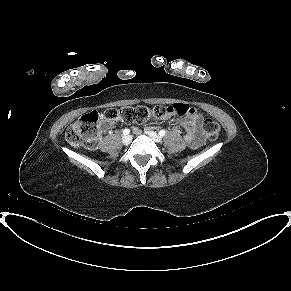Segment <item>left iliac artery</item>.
I'll return each instance as SVG.
<instances>
[{
	"mask_svg": "<svg viewBox=\"0 0 291 291\" xmlns=\"http://www.w3.org/2000/svg\"><path fill=\"white\" fill-rule=\"evenodd\" d=\"M165 134H166L165 130H160V131H159V135H160V136H164Z\"/></svg>",
	"mask_w": 291,
	"mask_h": 291,
	"instance_id": "left-iliac-artery-1",
	"label": "left iliac artery"
}]
</instances>
